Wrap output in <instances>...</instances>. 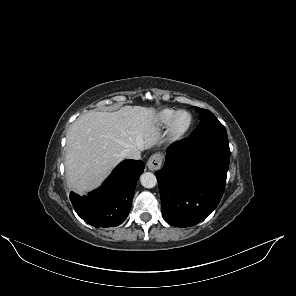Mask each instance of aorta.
Instances as JSON below:
<instances>
[{
  "instance_id": "aorta-1",
  "label": "aorta",
  "mask_w": 296,
  "mask_h": 296,
  "mask_svg": "<svg viewBox=\"0 0 296 296\" xmlns=\"http://www.w3.org/2000/svg\"><path fill=\"white\" fill-rule=\"evenodd\" d=\"M140 182L145 188H153L157 184V179L153 173L145 172L141 175Z\"/></svg>"
}]
</instances>
